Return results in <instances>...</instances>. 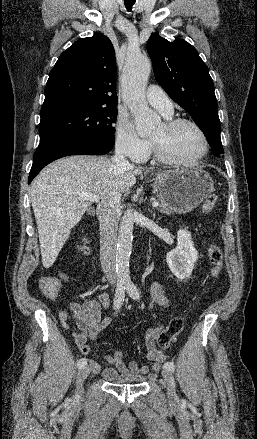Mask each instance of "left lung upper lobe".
<instances>
[{"mask_svg":"<svg viewBox=\"0 0 257 439\" xmlns=\"http://www.w3.org/2000/svg\"><path fill=\"white\" fill-rule=\"evenodd\" d=\"M147 52L157 82L191 115L214 155L220 156L224 151L214 84L197 50L182 39L170 42L152 34L147 42Z\"/></svg>","mask_w":257,"mask_h":439,"instance_id":"1","label":"left lung upper lobe"}]
</instances>
